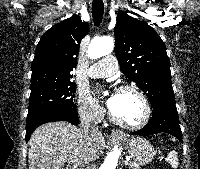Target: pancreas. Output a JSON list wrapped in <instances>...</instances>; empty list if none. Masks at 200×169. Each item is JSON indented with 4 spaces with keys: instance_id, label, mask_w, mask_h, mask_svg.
<instances>
[{
    "instance_id": "pancreas-1",
    "label": "pancreas",
    "mask_w": 200,
    "mask_h": 169,
    "mask_svg": "<svg viewBox=\"0 0 200 169\" xmlns=\"http://www.w3.org/2000/svg\"><path fill=\"white\" fill-rule=\"evenodd\" d=\"M128 165H129L130 168H132V169H140L139 164L136 163V162H134V161H130V162L128 163Z\"/></svg>"
}]
</instances>
